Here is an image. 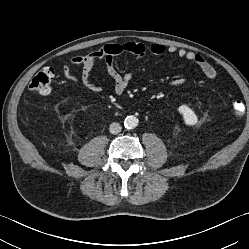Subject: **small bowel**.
Here are the masks:
<instances>
[{
  "instance_id": "obj_1",
  "label": "small bowel",
  "mask_w": 249,
  "mask_h": 249,
  "mask_svg": "<svg viewBox=\"0 0 249 249\" xmlns=\"http://www.w3.org/2000/svg\"><path fill=\"white\" fill-rule=\"evenodd\" d=\"M148 50L151 54L156 56H161L167 53L191 61L200 68L207 78L213 79L216 77V69L203 56L196 52L177 48L175 46L166 47L159 43L152 44ZM146 52V47L142 43L135 41L104 44L100 48L84 56L73 57L63 65L62 74L66 79L76 81L78 76L74 73L73 66L79 65L81 67L79 79L82 84L91 92L99 93L102 89L99 85L91 81L90 74L96 62L98 60H104L108 75L113 84L114 92L116 95H121L130 84L133 74L131 70L119 72L114 64L115 58L124 54H129L135 56L136 59H140L146 54ZM186 83L187 79L180 77L172 80L169 86L171 88H178L184 86Z\"/></svg>"
}]
</instances>
